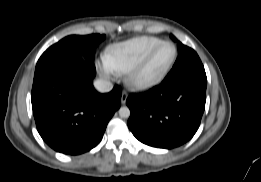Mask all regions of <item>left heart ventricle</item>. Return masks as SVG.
<instances>
[{"instance_id":"obj_1","label":"left heart ventricle","mask_w":261,"mask_h":182,"mask_svg":"<svg viewBox=\"0 0 261 182\" xmlns=\"http://www.w3.org/2000/svg\"><path fill=\"white\" fill-rule=\"evenodd\" d=\"M173 53L174 51L171 46H163L150 60L142 76L152 77L161 72L171 61Z\"/></svg>"}]
</instances>
